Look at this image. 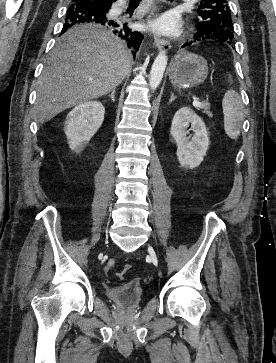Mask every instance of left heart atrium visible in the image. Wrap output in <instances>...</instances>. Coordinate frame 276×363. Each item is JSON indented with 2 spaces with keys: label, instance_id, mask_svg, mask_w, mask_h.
Listing matches in <instances>:
<instances>
[{
  "label": "left heart atrium",
  "instance_id": "1",
  "mask_svg": "<svg viewBox=\"0 0 276 363\" xmlns=\"http://www.w3.org/2000/svg\"><path fill=\"white\" fill-rule=\"evenodd\" d=\"M151 26L159 33L175 35L179 32L181 23L177 14L174 12H167L153 20Z\"/></svg>",
  "mask_w": 276,
  "mask_h": 363
}]
</instances>
